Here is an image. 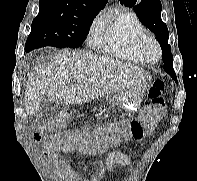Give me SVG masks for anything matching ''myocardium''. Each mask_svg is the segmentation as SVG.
<instances>
[{
  "label": "myocardium",
  "instance_id": "myocardium-1",
  "mask_svg": "<svg viewBox=\"0 0 197 181\" xmlns=\"http://www.w3.org/2000/svg\"><path fill=\"white\" fill-rule=\"evenodd\" d=\"M152 44L156 49V57L151 58L147 52V45ZM136 50L142 59L147 63H155L161 57V47L158 40L155 36L151 35L150 33L144 32L142 33L135 42Z\"/></svg>",
  "mask_w": 197,
  "mask_h": 181
}]
</instances>
